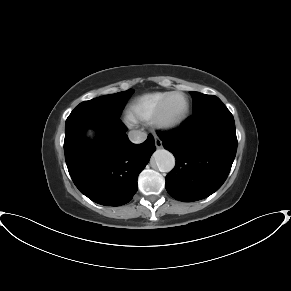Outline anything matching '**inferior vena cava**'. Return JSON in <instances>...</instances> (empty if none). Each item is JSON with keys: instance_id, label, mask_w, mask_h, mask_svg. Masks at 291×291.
Listing matches in <instances>:
<instances>
[{"instance_id": "obj_1", "label": "inferior vena cava", "mask_w": 291, "mask_h": 291, "mask_svg": "<svg viewBox=\"0 0 291 291\" xmlns=\"http://www.w3.org/2000/svg\"><path fill=\"white\" fill-rule=\"evenodd\" d=\"M128 137L132 143L139 144L146 140L147 134L140 130H132L128 133Z\"/></svg>"}]
</instances>
